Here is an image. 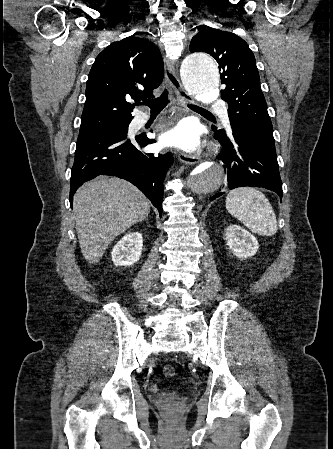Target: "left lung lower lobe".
I'll list each match as a JSON object with an SVG mask.
<instances>
[{"instance_id": "1", "label": "left lung lower lobe", "mask_w": 333, "mask_h": 449, "mask_svg": "<svg viewBox=\"0 0 333 449\" xmlns=\"http://www.w3.org/2000/svg\"><path fill=\"white\" fill-rule=\"evenodd\" d=\"M214 136L224 147L219 157L227 170L228 188L242 186L263 187L282 198V182L275 144L260 135L247 131H233L231 137L214 130ZM223 192L212 196L220 197Z\"/></svg>"}]
</instances>
